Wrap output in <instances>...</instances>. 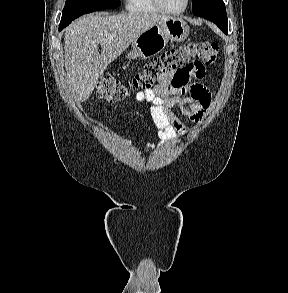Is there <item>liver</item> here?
I'll return each mask as SVG.
<instances>
[{"label": "liver", "instance_id": "obj_1", "mask_svg": "<svg viewBox=\"0 0 288 293\" xmlns=\"http://www.w3.org/2000/svg\"><path fill=\"white\" fill-rule=\"evenodd\" d=\"M165 18L154 13L89 14L72 22L65 30L64 64L75 99L86 101L106 67L140 34Z\"/></svg>", "mask_w": 288, "mask_h": 293}]
</instances>
